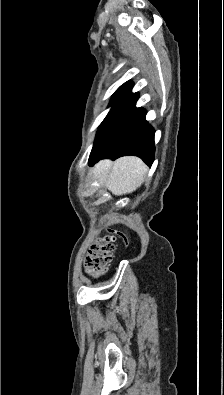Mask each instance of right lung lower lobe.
<instances>
[{
  "instance_id": "right-lung-lower-lobe-1",
  "label": "right lung lower lobe",
  "mask_w": 224,
  "mask_h": 395,
  "mask_svg": "<svg viewBox=\"0 0 224 395\" xmlns=\"http://www.w3.org/2000/svg\"><path fill=\"white\" fill-rule=\"evenodd\" d=\"M132 82H126L114 93L108 113L99 127L89 164L103 158L140 157L151 166L154 160V130L145 120L146 111L136 108L138 93H131Z\"/></svg>"
}]
</instances>
